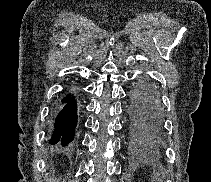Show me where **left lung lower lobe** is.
I'll return each mask as SVG.
<instances>
[{
  "instance_id": "left-lung-lower-lobe-1",
  "label": "left lung lower lobe",
  "mask_w": 211,
  "mask_h": 182,
  "mask_svg": "<svg viewBox=\"0 0 211 182\" xmlns=\"http://www.w3.org/2000/svg\"><path fill=\"white\" fill-rule=\"evenodd\" d=\"M131 96L140 120L152 132L157 131L163 121V112L155 85L148 79H141L132 90Z\"/></svg>"
}]
</instances>
